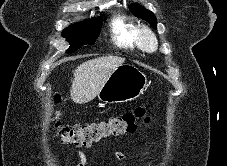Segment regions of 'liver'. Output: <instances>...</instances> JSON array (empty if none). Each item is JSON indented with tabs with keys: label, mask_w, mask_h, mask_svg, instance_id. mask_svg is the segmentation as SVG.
Here are the masks:
<instances>
[{
	"label": "liver",
	"mask_w": 227,
	"mask_h": 166,
	"mask_svg": "<svg viewBox=\"0 0 227 166\" xmlns=\"http://www.w3.org/2000/svg\"><path fill=\"white\" fill-rule=\"evenodd\" d=\"M124 61L122 57L103 56L80 64L74 71L70 90L71 99L79 104L92 101L113 71Z\"/></svg>",
	"instance_id": "obj_1"
}]
</instances>
